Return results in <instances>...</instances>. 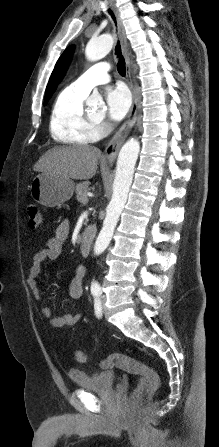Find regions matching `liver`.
Here are the masks:
<instances>
[{
  "mask_svg": "<svg viewBox=\"0 0 219 447\" xmlns=\"http://www.w3.org/2000/svg\"><path fill=\"white\" fill-rule=\"evenodd\" d=\"M101 151L89 145L54 147L34 165V171L49 172L67 179L87 180L97 169Z\"/></svg>",
  "mask_w": 219,
  "mask_h": 447,
  "instance_id": "1",
  "label": "liver"
}]
</instances>
